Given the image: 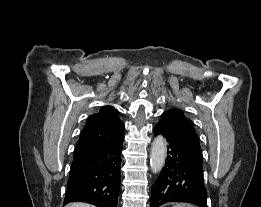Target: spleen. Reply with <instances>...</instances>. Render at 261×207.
Masks as SVG:
<instances>
[{"mask_svg":"<svg viewBox=\"0 0 261 207\" xmlns=\"http://www.w3.org/2000/svg\"><path fill=\"white\" fill-rule=\"evenodd\" d=\"M174 207H193L191 205H186V204H177Z\"/></svg>","mask_w":261,"mask_h":207,"instance_id":"1","label":"spleen"}]
</instances>
